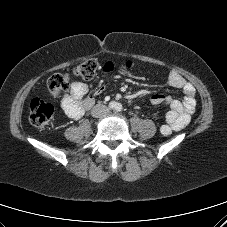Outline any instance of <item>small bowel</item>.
<instances>
[{
	"label": "small bowel",
	"mask_w": 227,
	"mask_h": 227,
	"mask_svg": "<svg viewBox=\"0 0 227 227\" xmlns=\"http://www.w3.org/2000/svg\"><path fill=\"white\" fill-rule=\"evenodd\" d=\"M113 68L112 63L104 66L106 72L113 70ZM168 83L171 87L182 90L185 96L183 100H178L159 93L152 95L150 101L153 105L164 104L169 107L166 124L161 127V133L164 135L184 129L189 124L196 106L195 88L184 77L171 71ZM87 91L88 87L83 82L77 81L72 84L70 92L65 94L61 100V107L67 116L72 119H80L94 105L95 99L92 96H86ZM102 91L103 87L100 86L95 94L99 95Z\"/></svg>",
	"instance_id": "c3829d8e"
}]
</instances>
